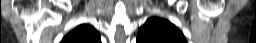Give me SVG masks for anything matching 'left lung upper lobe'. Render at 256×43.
Returning a JSON list of instances; mask_svg holds the SVG:
<instances>
[{"instance_id":"5c2ea615","label":"left lung upper lobe","mask_w":256,"mask_h":43,"mask_svg":"<svg viewBox=\"0 0 256 43\" xmlns=\"http://www.w3.org/2000/svg\"><path fill=\"white\" fill-rule=\"evenodd\" d=\"M136 43H187L183 33L162 18L151 17L138 30Z\"/></svg>"}]
</instances>
